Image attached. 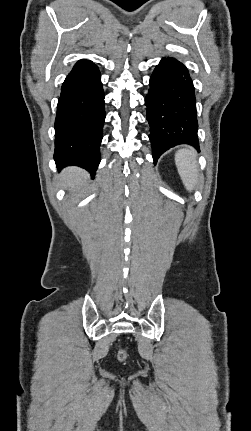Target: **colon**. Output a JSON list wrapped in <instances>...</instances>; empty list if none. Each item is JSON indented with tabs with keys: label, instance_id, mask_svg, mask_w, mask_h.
Instances as JSON below:
<instances>
[{
	"label": "colon",
	"instance_id": "1",
	"mask_svg": "<svg viewBox=\"0 0 251 431\" xmlns=\"http://www.w3.org/2000/svg\"><path fill=\"white\" fill-rule=\"evenodd\" d=\"M117 357L120 361H124L127 358V352L124 349H119L117 352Z\"/></svg>",
	"mask_w": 251,
	"mask_h": 431
}]
</instances>
